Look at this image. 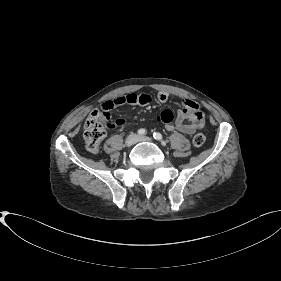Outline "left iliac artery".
<instances>
[{
    "label": "left iliac artery",
    "mask_w": 281,
    "mask_h": 281,
    "mask_svg": "<svg viewBox=\"0 0 281 281\" xmlns=\"http://www.w3.org/2000/svg\"><path fill=\"white\" fill-rule=\"evenodd\" d=\"M153 137L156 140H162V135L159 132H154Z\"/></svg>",
    "instance_id": "left-iliac-artery-1"
}]
</instances>
